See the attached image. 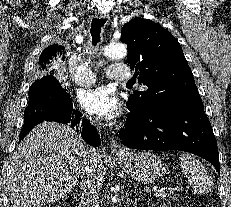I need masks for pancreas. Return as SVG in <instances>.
<instances>
[{"label":"pancreas","mask_w":231,"mask_h":207,"mask_svg":"<svg viewBox=\"0 0 231 207\" xmlns=\"http://www.w3.org/2000/svg\"><path fill=\"white\" fill-rule=\"evenodd\" d=\"M167 195H168V197H169V198H171V196H170V194H169V193H168Z\"/></svg>","instance_id":"obj_1"}]
</instances>
